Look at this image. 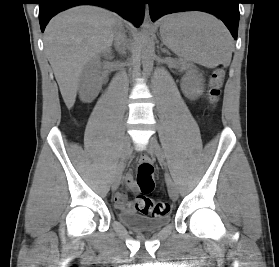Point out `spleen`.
<instances>
[{"instance_id":"spleen-1","label":"spleen","mask_w":279,"mask_h":267,"mask_svg":"<svg viewBox=\"0 0 279 267\" xmlns=\"http://www.w3.org/2000/svg\"><path fill=\"white\" fill-rule=\"evenodd\" d=\"M163 43L177 55L203 66L229 65L233 41L224 24L202 12L172 16V24L160 29Z\"/></svg>"}]
</instances>
